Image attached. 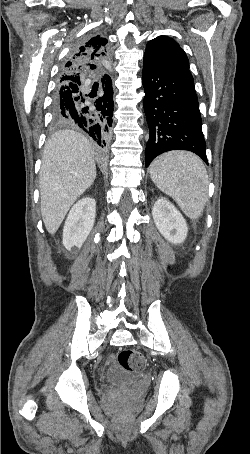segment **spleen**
Segmentation results:
<instances>
[{
    "label": "spleen",
    "mask_w": 250,
    "mask_h": 454,
    "mask_svg": "<svg viewBox=\"0 0 250 454\" xmlns=\"http://www.w3.org/2000/svg\"><path fill=\"white\" fill-rule=\"evenodd\" d=\"M154 184L173 198L191 219L199 218L208 195V175L202 160L196 155L173 151L157 157L150 166Z\"/></svg>",
    "instance_id": "spleen-1"
}]
</instances>
